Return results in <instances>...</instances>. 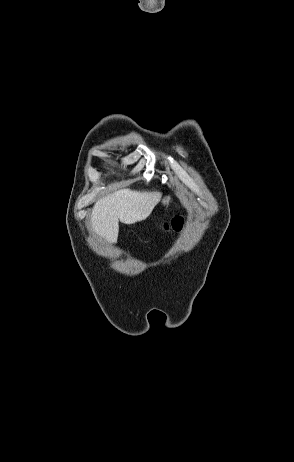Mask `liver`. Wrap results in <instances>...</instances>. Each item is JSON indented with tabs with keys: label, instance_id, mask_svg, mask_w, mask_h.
I'll list each match as a JSON object with an SVG mask.
<instances>
[{
	"label": "liver",
	"instance_id": "liver-1",
	"mask_svg": "<svg viewBox=\"0 0 294 462\" xmlns=\"http://www.w3.org/2000/svg\"><path fill=\"white\" fill-rule=\"evenodd\" d=\"M161 199L160 192L121 189L99 199L93 206L91 230L110 243L117 242L119 221L134 224L146 219Z\"/></svg>",
	"mask_w": 294,
	"mask_h": 462
}]
</instances>
